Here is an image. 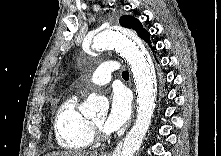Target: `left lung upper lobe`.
I'll use <instances>...</instances> for the list:
<instances>
[{
  "label": "left lung upper lobe",
  "instance_id": "1",
  "mask_svg": "<svg viewBox=\"0 0 221 156\" xmlns=\"http://www.w3.org/2000/svg\"><path fill=\"white\" fill-rule=\"evenodd\" d=\"M120 25L129 29H133L137 34L144 39L150 48L154 51L155 47L151 45L150 33L142 26L141 22L132 16L124 15L120 18Z\"/></svg>",
  "mask_w": 221,
  "mask_h": 156
}]
</instances>
